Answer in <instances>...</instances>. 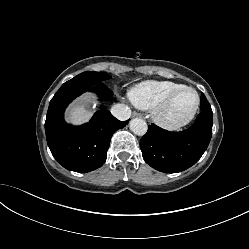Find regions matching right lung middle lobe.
<instances>
[{
	"label": "right lung middle lobe",
	"mask_w": 249,
	"mask_h": 249,
	"mask_svg": "<svg viewBox=\"0 0 249 249\" xmlns=\"http://www.w3.org/2000/svg\"><path fill=\"white\" fill-rule=\"evenodd\" d=\"M110 75H108L105 72H92V71H86L83 72L73 79L78 80V79H86L89 80L90 82H93L94 84L96 83H101L104 82L105 80L109 79Z\"/></svg>",
	"instance_id": "1"
}]
</instances>
